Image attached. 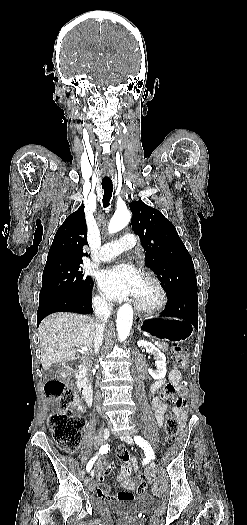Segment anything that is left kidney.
Returning <instances> with one entry per match:
<instances>
[{
    "mask_svg": "<svg viewBox=\"0 0 247 525\" xmlns=\"http://www.w3.org/2000/svg\"><path fill=\"white\" fill-rule=\"evenodd\" d=\"M138 347H143L145 351H148V353H152L156 359V365L158 367L156 373H160V375H166V357L164 353H161L155 345H152V343H147V341H138L137 343ZM150 375H154L153 371H151Z\"/></svg>",
    "mask_w": 247,
    "mask_h": 525,
    "instance_id": "obj_1",
    "label": "left kidney"
}]
</instances>
